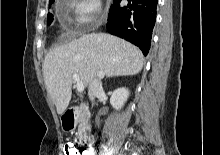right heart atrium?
I'll list each match as a JSON object with an SVG mask.
<instances>
[{"instance_id": "d8ad5b80", "label": "right heart atrium", "mask_w": 220, "mask_h": 155, "mask_svg": "<svg viewBox=\"0 0 220 155\" xmlns=\"http://www.w3.org/2000/svg\"><path fill=\"white\" fill-rule=\"evenodd\" d=\"M71 8L74 14V22L78 28L90 29L100 21V0H72Z\"/></svg>"}]
</instances>
